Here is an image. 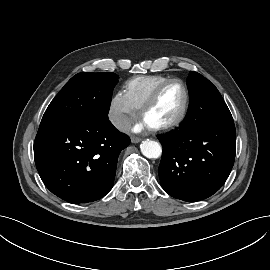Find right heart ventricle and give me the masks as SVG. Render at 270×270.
Listing matches in <instances>:
<instances>
[{
  "mask_svg": "<svg viewBox=\"0 0 270 270\" xmlns=\"http://www.w3.org/2000/svg\"><path fill=\"white\" fill-rule=\"evenodd\" d=\"M168 79L171 78L163 75L135 76L126 81L124 93L135 109H140L153 90Z\"/></svg>",
  "mask_w": 270,
  "mask_h": 270,
  "instance_id": "1",
  "label": "right heart ventricle"
}]
</instances>
